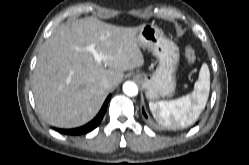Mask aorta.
I'll return each instance as SVG.
<instances>
[{"instance_id":"aorta-1","label":"aorta","mask_w":249,"mask_h":165,"mask_svg":"<svg viewBox=\"0 0 249 165\" xmlns=\"http://www.w3.org/2000/svg\"><path fill=\"white\" fill-rule=\"evenodd\" d=\"M123 92L127 95V96H130V97H133V96H136L138 94V87L137 85L132 82V81H126L124 84H123Z\"/></svg>"}]
</instances>
